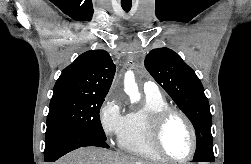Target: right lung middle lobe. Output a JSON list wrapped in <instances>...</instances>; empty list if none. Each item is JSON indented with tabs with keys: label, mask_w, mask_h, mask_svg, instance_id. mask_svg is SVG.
Wrapping results in <instances>:
<instances>
[{
	"label": "right lung middle lobe",
	"mask_w": 251,
	"mask_h": 164,
	"mask_svg": "<svg viewBox=\"0 0 251 164\" xmlns=\"http://www.w3.org/2000/svg\"><path fill=\"white\" fill-rule=\"evenodd\" d=\"M105 95L54 93L47 116L46 139L60 133H80L106 137L99 112Z\"/></svg>",
	"instance_id": "1"
}]
</instances>
